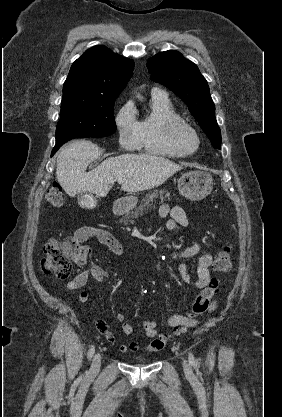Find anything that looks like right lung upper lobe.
Here are the masks:
<instances>
[{
    "mask_svg": "<svg viewBox=\"0 0 282 417\" xmlns=\"http://www.w3.org/2000/svg\"><path fill=\"white\" fill-rule=\"evenodd\" d=\"M133 68L132 60L105 46H94L72 64L63 86V94H119L132 76Z\"/></svg>",
    "mask_w": 282,
    "mask_h": 417,
    "instance_id": "1",
    "label": "right lung upper lobe"
}]
</instances>
